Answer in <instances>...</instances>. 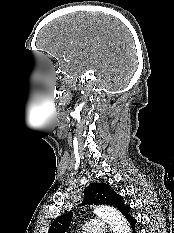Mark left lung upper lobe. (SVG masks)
Returning <instances> with one entry per match:
<instances>
[{
    "label": "left lung upper lobe",
    "instance_id": "1",
    "mask_svg": "<svg viewBox=\"0 0 174 233\" xmlns=\"http://www.w3.org/2000/svg\"><path fill=\"white\" fill-rule=\"evenodd\" d=\"M86 204H107L117 208L124 215L129 211L121 198V195L116 194L110 185L104 183H91L84 191V201L81 205ZM73 212H68L58 217L51 224L48 233H65L72 221Z\"/></svg>",
    "mask_w": 174,
    "mask_h": 233
}]
</instances>
